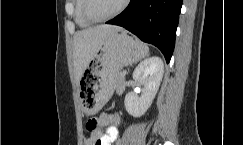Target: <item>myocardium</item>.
I'll use <instances>...</instances> for the list:
<instances>
[{
  "mask_svg": "<svg viewBox=\"0 0 243 145\" xmlns=\"http://www.w3.org/2000/svg\"><path fill=\"white\" fill-rule=\"evenodd\" d=\"M130 0H123L121 6L112 14L103 17V18H95L92 16L91 12H90V5H91V0H84V4H83V15L86 18V20H88L91 23H101V22H106L116 16H118L119 14H121L129 5Z\"/></svg>",
  "mask_w": 243,
  "mask_h": 145,
  "instance_id": "obj_1",
  "label": "myocardium"
}]
</instances>
